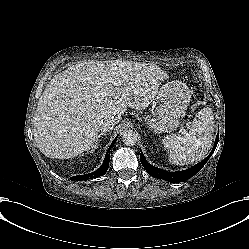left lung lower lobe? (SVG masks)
I'll list each match as a JSON object with an SVG mask.
<instances>
[{"instance_id":"left-lung-lower-lobe-1","label":"left lung lower lobe","mask_w":249,"mask_h":249,"mask_svg":"<svg viewBox=\"0 0 249 249\" xmlns=\"http://www.w3.org/2000/svg\"><path fill=\"white\" fill-rule=\"evenodd\" d=\"M218 139H219V134L216 137L214 147H213L211 153L209 154V156H207L203 161L196 164L192 168L184 170V171L168 172V171H164L162 169H158V168L150 165L146 161L142 152L140 155V161H141L143 167L145 168V170L147 171L148 174H150L156 178L163 179V180H166V181L172 182V183L182 182V181L187 180L190 177L194 176L197 172H199L202 169V167L206 164V162L209 160L210 156L215 151V148H216L217 143H218Z\"/></svg>"}]
</instances>
